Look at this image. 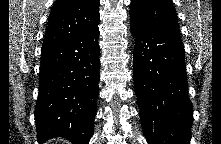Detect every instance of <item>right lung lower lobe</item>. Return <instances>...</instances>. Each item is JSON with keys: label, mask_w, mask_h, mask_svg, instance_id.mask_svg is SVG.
Returning <instances> with one entry per match:
<instances>
[{"label": "right lung lower lobe", "mask_w": 221, "mask_h": 144, "mask_svg": "<svg viewBox=\"0 0 221 144\" xmlns=\"http://www.w3.org/2000/svg\"><path fill=\"white\" fill-rule=\"evenodd\" d=\"M98 25L42 51L35 123L39 143L63 137L88 144L93 131L100 79Z\"/></svg>", "instance_id": "1"}]
</instances>
